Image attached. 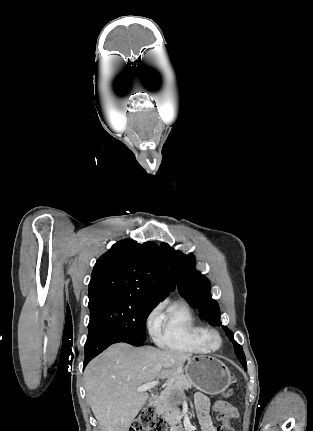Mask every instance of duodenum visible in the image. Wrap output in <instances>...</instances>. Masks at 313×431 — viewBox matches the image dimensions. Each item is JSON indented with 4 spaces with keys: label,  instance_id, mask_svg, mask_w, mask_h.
<instances>
[{
    "label": "duodenum",
    "instance_id": "410a0bca",
    "mask_svg": "<svg viewBox=\"0 0 313 431\" xmlns=\"http://www.w3.org/2000/svg\"><path fill=\"white\" fill-rule=\"evenodd\" d=\"M157 399H158V397H157V396H154V397L152 398V403H153V404H156Z\"/></svg>",
    "mask_w": 313,
    "mask_h": 431
}]
</instances>
